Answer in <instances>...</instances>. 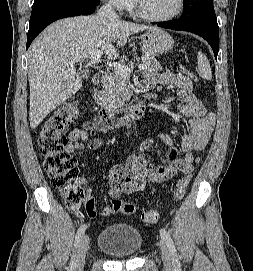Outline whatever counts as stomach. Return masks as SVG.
Masks as SVG:
<instances>
[{"label": "stomach", "instance_id": "stomach-1", "mask_svg": "<svg viewBox=\"0 0 253 271\" xmlns=\"http://www.w3.org/2000/svg\"><path fill=\"white\" fill-rule=\"evenodd\" d=\"M145 51L153 56L167 53L172 49L174 40L169 33L162 29H150L141 35Z\"/></svg>", "mask_w": 253, "mask_h": 271}]
</instances>
